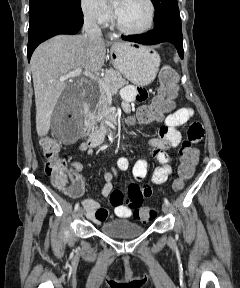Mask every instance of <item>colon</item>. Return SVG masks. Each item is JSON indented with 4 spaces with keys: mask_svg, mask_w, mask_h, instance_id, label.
<instances>
[{
    "mask_svg": "<svg viewBox=\"0 0 240 288\" xmlns=\"http://www.w3.org/2000/svg\"><path fill=\"white\" fill-rule=\"evenodd\" d=\"M177 88V73L170 65H163L159 71L158 93L149 105L139 109V121L151 123L170 112L174 107ZM41 147L46 158L45 173L50 178L53 186L68 194L79 192L81 184L71 175L65 160L60 158L58 142L46 137L41 140ZM197 162L198 151L192 146L190 141H184L180 148L178 177L173 184L175 190H180L184 183L192 177ZM142 200L138 191H130L126 197V203L134 209V215L137 219L143 222L151 221L156 217L157 211L152 207H141Z\"/></svg>",
    "mask_w": 240,
    "mask_h": 288,
    "instance_id": "5ec220e1",
    "label": "colon"
}]
</instances>
